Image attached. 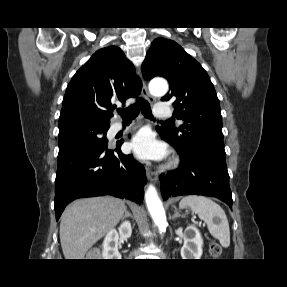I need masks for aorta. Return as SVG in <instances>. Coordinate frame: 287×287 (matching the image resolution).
Here are the masks:
<instances>
[{
	"label": "aorta",
	"instance_id": "obj_1",
	"mask_svg": "<svg viewBox=\"0 0 287 287\" xmlns=\"http://www.w3.org/2000/svg\"><path fill=\"white\" fill-rule=\"evenodd\" d=\"M150 91L155 95H164L168 91V84L164 80L152 81L149 85ZM147 209L159 231L165 232L167 220L163 204L154 186L150 185L145 192Z\"/></svg>",
	"mask_w": 287,
	"mask_h": 287
}]
</instances>
